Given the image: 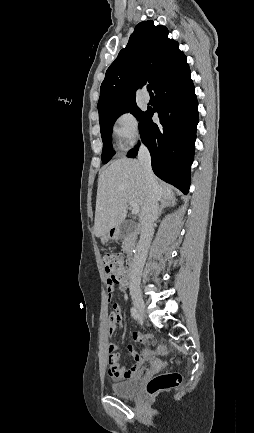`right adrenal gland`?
<instances>
[{"label": "right adrenal gland", "mask_w": 254, "mask_h": 433, "mask_svg": "<svg viewBox=\"0 0 254 433\" xmlns=\"http://www.w3.org/2000/svg\"><path fill=\"white\" fill-rule=\"evenodd\" d=\"M173 206H175V199L164 198L163 200H161V204H160L159 211H158L159 216L162 214V211L164 208L173 207Z\"/></svg>", "instance_id": "obj_1"}]
</instances>
